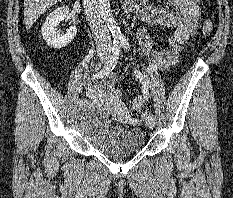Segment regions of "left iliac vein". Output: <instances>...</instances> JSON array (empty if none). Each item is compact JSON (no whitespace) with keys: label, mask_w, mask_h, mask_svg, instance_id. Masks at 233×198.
<instances>
[{"label":"left iliac vein","mask_w":233,"mask_h":198,"mask_svg":"<svg viewBox=\"0 0 233 198\" xmlns=\"http://www.w3.org/2000/svg\"><path fill=\"white\" fill-rule=\"evenodd\" d=\"M147 125L149 126V128L153 129L155 127V120L154 118L148 116L146 119Z\"/></svg>","instance_id":"left-iliac-vein-1"}]
</instances>
